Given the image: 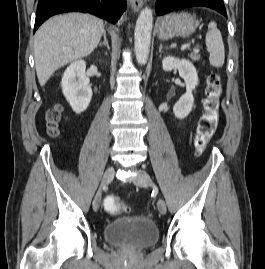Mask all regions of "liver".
I'll list each match as a JSON object with an SVG mask.
<instances>
[{
  "label": "liver",
  "mask_w": 265,
  "mask_h": 269,
  "mask_svg": "<svg viewBox=\"0 0 265 269\" xmlns=\"http://www.w3.org/2000/svg\"><path fill=\"white\" fill-rule=\"evenodd\" d=\"M104 31L103 21L89 14L68 13L48 19L34 37L35 67L40 85L44 86L60 67L89 55Z\"/></svg>",
  "instance_id": "6515ba94"
}]
</instances>
